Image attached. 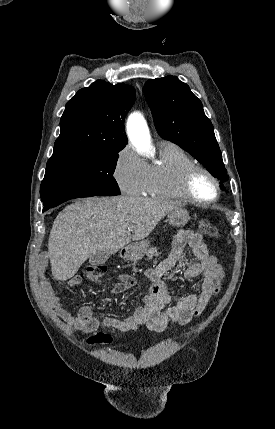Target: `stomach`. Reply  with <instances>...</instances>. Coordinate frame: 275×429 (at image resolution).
<instances>
[{
	"mask_svg": "<svg viewBox=\"0 0 275 429\" xmlns=\"http://www.w3.org/2000/svg\"><path fill=\"white\" fill-rule=\"evenodd\" d=\"M189 220V213L184 208H177L167 215V221L170 225L180 227L185 225ZM150 242L144 240L131 245L126 251L125 257L130 261L140 260L147 252Z\"/></svg>",
	"mask_w": 275,
	"mask_h": 429,
	"instance_id": "0dacf381",
	"label": "stomach"
}]
</instances>
